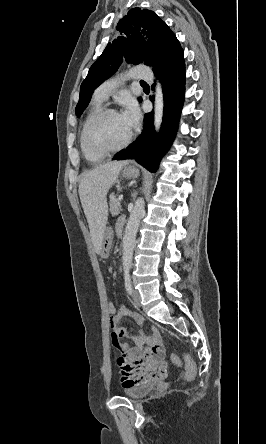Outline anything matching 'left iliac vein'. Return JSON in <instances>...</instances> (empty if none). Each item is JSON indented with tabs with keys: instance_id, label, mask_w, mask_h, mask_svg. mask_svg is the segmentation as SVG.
Segmentation results:
<instances>
[{
	"instance_id": "obj_1",
	"label": "left iliac vein",
	"mask_w": 266,
	"mask_h": 444,
	"mask_svg": "<svg viewBox=\"0 0 266 444\" xmlns=\"http://www.w3.org/2000/svg\"><path fill=\"white\" fill-rule=\"evenodd\" d=\"M132 298L136 306H141V295L138 290H133Z\"/></svg>"
}]
</instances>
